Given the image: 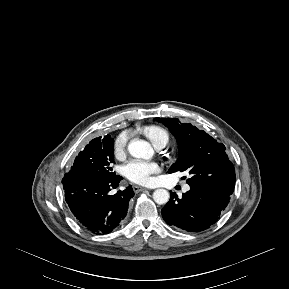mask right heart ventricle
Instances as JSON below:
<instances>
[{"mask_svg": "<svg viewBox=\"0 0 289 289\" xmlns=\"http://www.w3.org/2000/svg\"><path fill=\"white\" fill-rule=\"evenodd\" d=\"M143 133L151 141L153 145L161 141H164L166 143H168L169 141L168 132L159 126L155 125L148 126L143 129Z\"/></svg>", "mask_w": 289, "mask_h": 289, "instance_id": "right-heart-ventricle-1", "label": "right heart ventricle"}]
</instances>
